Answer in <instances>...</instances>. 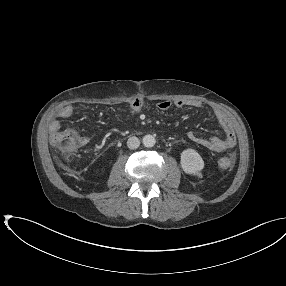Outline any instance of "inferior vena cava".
Instances as JSON below:
<instances>
[{
    "mask_svg": "<svg viewBox=\"0 0 286 286\" xmlns=\"http://www.w3.org/2000/svg\"><path fill=\"white\" fill-rule=\"evenodd\" d=\"M140 145V140L137 137H130L127 141L129 149H137Z\"/></svg>",
    "mask_w": 286,
    "mask_h": 286,
    "instance_id": "602c4592",
    "label": "inferior vena cava"
}]
</instances>
